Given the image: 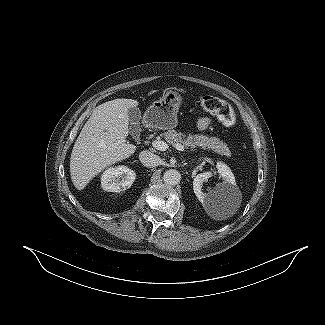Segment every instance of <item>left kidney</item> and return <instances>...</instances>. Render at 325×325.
Here are the masks:
<instances>
[{"label":"left kidney","mask_w":325,"mask_h":325,"mask_svg":"<svg viewBox=\"0 0 325 325\" xmlns=\"http://www.w3.org/2000/svg\"><path fill=\"white\" fill-rule=\"evenodd\" d=\"M218 174L222 177V183H218L214 190L205 193L202 191L203 182L213 176L212 172L198 174L193 181V190L198 200L205 207L219 203L222 199H228L230 194L238 192L235 177L230 168L221 162L217 163Z\"/></svg>","instance_id":"5707ae66"}]
</instances>
